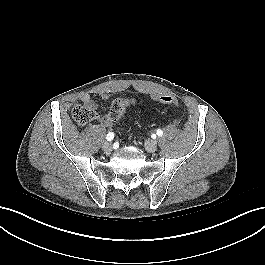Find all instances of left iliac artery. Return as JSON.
Masks as SVG:
<instances>
[{"mask_svg":"<svg viewBox=\"0 0 265 265\" xmlns=\"http://www.w3.org/2000/svg\"><path fill=\"white\" fill-rule=\"evenodd\" d=\"M157 135H158V136H162V135H163V131H162L161 129H158V130H157Z\"/></svg>","mask_w":265,"mask_h":265,"instance_id":"1","label":"left iliac artery"}]
</instances>
